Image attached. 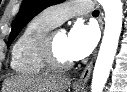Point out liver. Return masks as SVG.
I'll list each match as a JSON object with an SVG mask.
<instances>
[{"label":"liver","instance_id":"liver-1","mask_svg":"<svg viewBox=\"0 0 127 92\" xmlns=\"http://www.w3.org/2000/svg\"><path fill=\"white\" fill-rule=\"evenodd\" d=\"M70 81L56 76H12L4 81L2 92H65Z\"/></svg>","mask_w":127,"mask_h":92}]
</instances>
